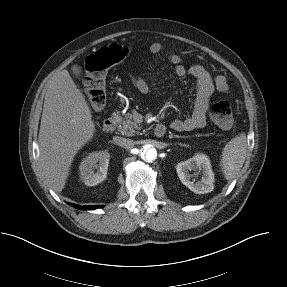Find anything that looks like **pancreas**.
<instances>
[{"label": "pancreas", "mask_w": 287, "mask_h": 287, "mask_svg": "<svg viewBox=\"0 0 287 287\" xmlns=\"http://www.w3.org/2000/svg\"><path fill=\"white\" fill-rule=\"evenodd\" d=\"M116 118L119 124L118 131L122 135L134 136L139 133L141 127L132 120L133 115L131 113L124 114V117L117 115Z\"/></svg>", "instance_id": "obj_1"}]
</instances>
